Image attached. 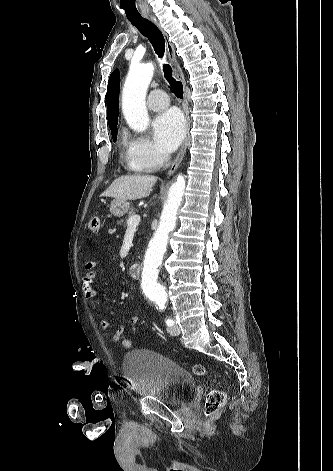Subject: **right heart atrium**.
I'll use <instances>...</instances> for the list:
<instances>
[{
	"instance_id": "obj_1",
	"label": "right heart atrium",
	"mask_w": 333,
	"mask_h": 471,
	"mask_svg": "<svg viewBox=\"0 0 333 471\" xmlns=\"http://www.w3.org/2000/svg\"><path fill=\"white\" fill-rule=\"evenodd\" d=\"M124 144L131 166L139 171H156L167 161V155L144 135L125 133Z\"/></svg>"
}]
</instances>
